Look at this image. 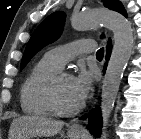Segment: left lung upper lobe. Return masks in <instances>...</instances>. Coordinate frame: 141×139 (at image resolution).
<instances>
[{
    "label": "left lung upper lobe",
    "instance_id": "5c2ea615",
    "mask_svg": "<svg viewBox=\"0 0 141 139\" xmlns=\"http://www.w3.org/2000/svg\"><path fill=\"white\" fill-rule=\"evenodd\" d=\"M104 5L109 9L115 10L125 17L127 13L119 0H104ZM65 22V14L63 12H55L49 15L32 34L22 61L21 69H23L30 59L44 46L54 42L60 36Z\"/></svg>",
    "mask_w": 141,
    "mask_h": 139
}]
</instances>
